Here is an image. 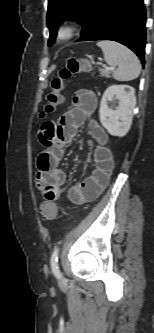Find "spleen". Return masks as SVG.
Wrapping results in <instances>:
<instances>
[{"label":"spleen","mask_w":154,"mask_h":333,"mask_svg":"<svg viewBox=\"0 0 154 333\" xmlns=\"http://www.w3.org/2000/svg\"><path fill=\"white\" fill-rule=\"evenodd\" d=\"M97 46L102 49L106 63L117 67L114 79L131 81L139 76L141 64L130 49L114 41H98Z\"/></svg>","instance_id":"obj_1"}]
</instances>
